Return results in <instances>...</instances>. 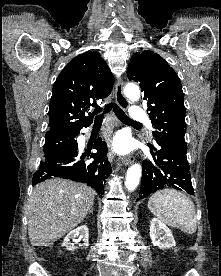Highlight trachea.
Wrapping results in <instances>:
<instances>
[{
	"label": "trachea",
	"instance_id": "obj_1",
	"mask_svg": "<svg viewBox=\"0 0 221 276\" xmlns=\"http://www.w3.org/2000/svg\"><path fill=\"white\" fill-rule=\"evenodd\" d=\"M113 109L114 113L116 114V116L118 117V119L120 121H122L125 124H136V125H140V123L135 122L133 120H131L126 114L125 112L115 103H109L105 106V112H110ZM102 120H103V115H99L95 118L94 124L95 125H101L102 124Z\"/></svg>",
	"mask_w": 221,
	"mask_h": 276
}]
</instances>
